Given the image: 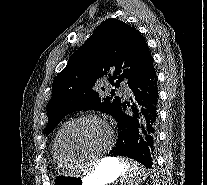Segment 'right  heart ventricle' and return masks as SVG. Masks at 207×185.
Segmentation results:
<instances>
[{"instance_id":"right-heart-ventricle-1","label":"right heart ventricle","mask_w":207,"mask_h":185,"mask_svg":"<svg viewBox=\"0 0 207 185\" xmlns=\"http://www.w3.org/2000/svg\"><path fill=\"white\" fill-rule=\"evenodd\" d=\"M70 122L71 121L68 120L60 126V128L58 129V131L55 135L54 142H53V156H54L55 161L60 166L75 165V164L84 160V159H76V158L71 157L65 151V149L63 147V135H64V132Z\"/></svg>"}]
</instances>
